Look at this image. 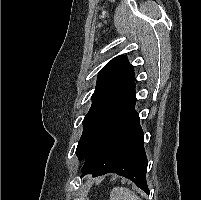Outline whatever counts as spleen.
<instances>
[{
  "label": "spleen",
  "instance_id": "obj_1",
  "mask_svg": "<svg viewBox=\"0 0 201 200\" xmlns=\"http://www.w3.org/2000/svg\"><path fill=\"white\" fill-rule=\"evenodd\" d=\"M110 200H141L133 191L125 187H115L110 193Z\"/></svg>",
  "mask_w": 201,
  "mask_h": 200
}]
</instances>
